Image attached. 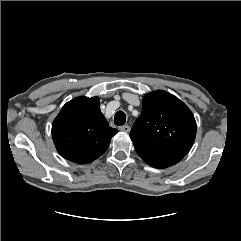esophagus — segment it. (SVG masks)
I'll return each instance as SVG.
<instances>
[{
    "mask_svg": "<svg viewBox=\"0 0 241 241\" xmlns=\"http://www.w3.org/2000/svg\"><path fill=\"white\" fill-rule=\"evenodd\" d=\"M119 130L122 131V132H129L130 131V126H128V125L120 126Z\"/></svg>",
    "mask_w": 241,
    "mask_h": 241,
    "instance_id": "esophagus-1",
    "label": "esophagus"
}]
</instances>
